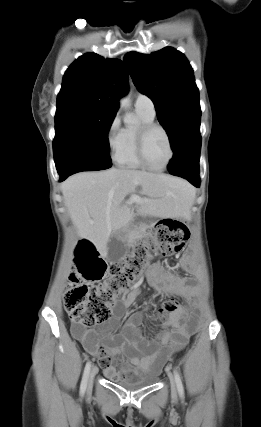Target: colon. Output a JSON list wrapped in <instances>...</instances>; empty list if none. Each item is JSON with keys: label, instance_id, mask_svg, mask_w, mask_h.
<instances>
[{"label": "colon", "instance_id": "colon-1", "mask_svg": "<svg viewBox=\"0 0 261 427\" xmlns=\"http://www.w3.org/2000/svg\"><path fill=\"white\" fill-rule=\"evenodd\" d=\"M189 238L187 227L178 221L163 220L149 243L136 244L122 263L108 265L89 240L79 242L75 252V271L71 274L65 296V309L71 322L85 327L107 321L111 307L123 293L132 290L141 278L147 259L153 254H178ZM101 282L98 285L88 283ZM177 308L174 299L165 301L159 317Z\"/></svg>", "mask_w": 261, "mask_h": 427}]
</instances>
